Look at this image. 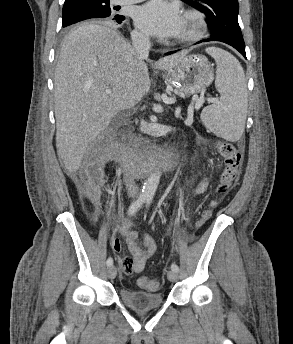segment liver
Instances as JSON below:
<instances>
[{
    "label": "liver",
    "instance_id": "liver-1",
    "mask_svg": "<svg viewBox=\"0 0 293 344\" xmlns=\"http://www.w3.org/2000/svg\"><path fill=\"white\" fill-rule=\"evenodd\" d=\"M187 53L161 58L154 67L170 70ZM127 85L136 103L140 101L151 86L148 68L112 27L84 24L65 38L54 92L57 154L68 172L79 169L88 145L124 109L122 95Z\"/></svg>",
    "mask_w": 293,
    "mask_h": 344
}]
</instances>
